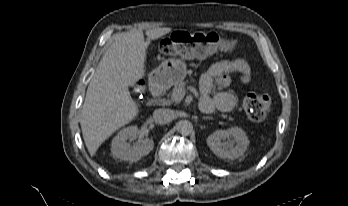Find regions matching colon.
Segmentation results:
<instances>
[{
  "instance_id": "colon-1",
  "label": "colon",
  "mask_w": 348,
  "mask_h": 206,
  "mask_svg": "<svg viewBox=\"0 0 348 206\" xmlns=\"http://www.w3.org/2000/svg\"><path fill=\"white\" fill-rule=\"evenodd\" d=\"M198 37H201L207 43L221 50L230 47L232 43L231 38L214 32L177 31L161 42L160 52L165 56L187 55L189 54L190 45H192ZM142 83V81L138 82L139 85ZM242 106L247 116L252 121H262L270 111L271 96L266 91L251 92L244 97Z\"/></svg>"
}]
</instances>
